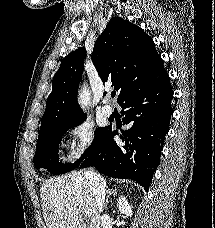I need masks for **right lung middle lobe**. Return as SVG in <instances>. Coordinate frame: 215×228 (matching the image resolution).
Segmentation results:
<instances>
[{"label": "right lung middle lobe", "mask_w": 215, "mask_h": 228, "mask_svg": "<svg viewBox=\"0 0 215 228\" xmlns=\"http://www.w3.org/2000/svg\"><path fill=\"white\" fill-rule=\"evenodd\" d=\"M84 119L85 118L70 122L53 123L40 128L34 156V165L37 169L45 168L53 175L69 172L76 168L83 159L87 158L103 142L111 126L98 128L95 131L92 144L74 164L63 165L59 163L58 146L62 136L68 129L75 126L78 122H83Z\"/></svg>", "instance_id": "obj_1"}]
</instances>
